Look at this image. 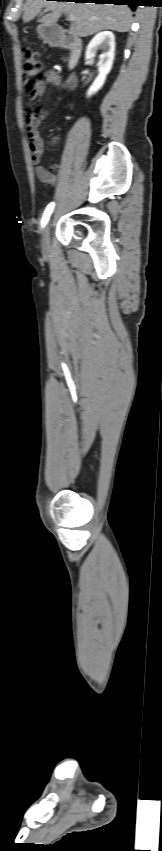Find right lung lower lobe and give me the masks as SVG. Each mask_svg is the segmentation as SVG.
<instances>
[{
  "label": "right lung lower lobe",
  "instance_id": "obj_1",
  "mask_svg": "<svg viewBox=\"0 0 162 851\" xmlns=\"http://www.w3.org/2000/svg\"><path fill=\"white\" fill-rule=\"evenodd\" d=\"M66 1V0H62ZM75 2H85V3H96V4H115V5H129L131 7L137 5V0H74Z\"/></svg>",
  "mask_w": 162,
  "mask_h": 851
}]
</instances>
